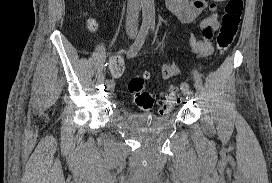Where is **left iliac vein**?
Segmentation results:
<instances>
[{
	"mask_svg": "<svg viewBox=\"0 0 272 183\" xmlns=\"http://www.w3.org/2000/svg\"><path fill=\"white\" fill-rule=\"evenodd\" d=\"M182 93H183L184 96H187V97L188 96L190 97L192 95V92L189 91V90H184V91H182Z\"/></svg>",
	"mask_w": 272,
	"mask_h": 183,
	"instance_id": "obj_1",
	"label": "left iliac vein"
}]
</instances>
